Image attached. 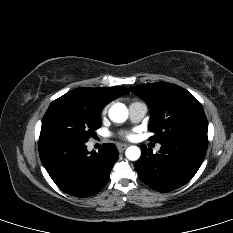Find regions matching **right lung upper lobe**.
Returning <instances> with one entry per match:
<instances>
[{
  "label": "right lung upper lobe",
  "mask_w": 233,
  "mask_h": 233,
  "mask_svg": "<svg viewBox=\"0 0 233 233\" xmlns=\"http://www.w3.org/2000/svg\"><path fill=\"white\" fill-rule=\"evenodd\" d=\"M129 90L124 87H101L87 88L81 87L68 92L67 94L79 102L97 109L102 110L106 104L115 100L123 94H128Z\"/></svg>",
  "instance_id": "cb5924a9"
}]
</instances>
